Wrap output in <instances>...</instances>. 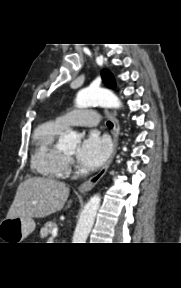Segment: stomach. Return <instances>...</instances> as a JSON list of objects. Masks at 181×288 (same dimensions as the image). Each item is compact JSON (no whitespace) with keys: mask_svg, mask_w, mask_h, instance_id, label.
I'll use <instances>...</instances> for the list:
<instances>
[{"mask_svg":"<svg viewBox=\"0 0 181 288\" xmlns=\"http://www.w3.org/2000/svg\"><path fill=\"white\" fill-rule=\"evenodd\" d=\"M35 226L32 218H6L0 223V239L4 243H21L34 231Z\"/></svg>","mask_w":181,"mask_h":288,"instance_id":"1","label":"stomach"}]
</instances>
